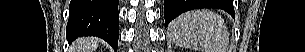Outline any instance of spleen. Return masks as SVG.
I'll list each match as a JSON object with an SVG mask.
<instances>
[{
  "label": "spleen",
  "mask_w": 305,
  "mask_h": 52,
  "mask_svg": "<svg viewBox=\"0 0 305 52\" xmlns=\"http://www.w3.org/2000/svg\"><path fill=\"white\" fill-rule=\"evenodd\" d=\"M168 31L178 46L201 52H226L229 45L223 18L208 9L183 13L170 23Z\"/></svg>",
  "instance_id": "obj_1"
}]
</instances>
